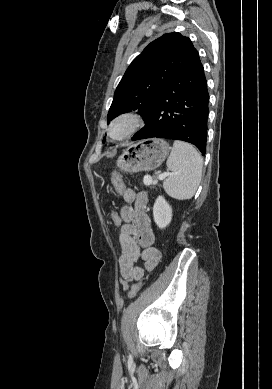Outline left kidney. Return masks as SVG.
Listing matches in <instances>:
<instances>
[{"label": "left kidney", "instance_id": "left-kidney-1", "mask_svg": "<svg viewBox=\"0 0 272 389\" xmlns=\"http://www.w3.org/2000/svg\"><path fill=\"white\" fill-rule=\"evenodd\" d=\"M153 217L157 226L161 229L170 224L172 208L163 196H158L153 206Z\"/></svg>", "mask_w": 272, "mask_h": 389}]
</instances>
